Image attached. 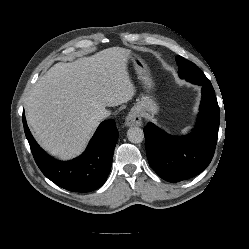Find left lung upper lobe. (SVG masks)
<instances>
[{
	"label": "left lung upper lobe",
	"mask_w": 249,
	"mask_h": 249,
	"mask_svg": "<svg viewBox=\"0 0 249 249\" xmlns=\"http://www.w3.org/2000/svg\"><path fill=\"white\" fill-rule=\"evenodd\" d=\"M176 62L179 67L178 74L182 79L193 82V79L204 75V73L191 61L181 57H176Z\"/></svg>",
	"instance_id": "left-lung-upper-lobe-1"
}]
</instances>
